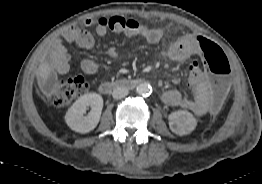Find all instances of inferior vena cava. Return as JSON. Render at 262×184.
Segmentation results:
<instances>
[{
	"mask_svg": "<svg viewBox=\"0 0 262 184\" xmlns=\"http://www.w3.org/2000/svg\"><path fill=\"white\" fill-rule=\"evenodd\" d=\"M129 93L128 89L125 87H117L113 90L112 96L114 99H121L127 96Z\"/></svg>",
	"mask_w": 262,
	"mask_h": 184,
	"instance_id": "inferior-vena-cava-1",
	"label": "inferior vena cava"
}]
</instances>
